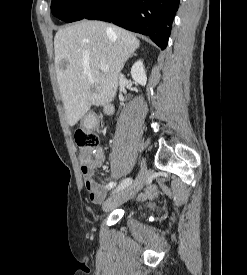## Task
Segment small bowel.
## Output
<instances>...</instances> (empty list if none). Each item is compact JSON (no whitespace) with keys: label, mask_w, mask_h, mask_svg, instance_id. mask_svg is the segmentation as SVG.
I'll return each instance as SVG.
<instances>
[{"label":"small bowel","mask_w":247,"mask_h":275,"mask_svg":"<svg viewBox=\"0 0 247 275\" xmlns=\"http://www.w3.org/2000/svg\"><path fill=\"white\" fill-rule=\"evenodd\" d=\"M92 121V120H91ZM105 160V153L102 148H97L94 151V157L87 164L83 165L81 168L82 177L84 181L85 188L88 192V197L92 202L99 203L102 200V192L95 182L94 171L96 168L101 166ZM116 183L114 181H109L106 185L107 190H111L115 187ZM157 193V188L150 185L145 194L140 197H153Z\"/></svg>","instance_id":"c3829d8e"}]
</instances>
